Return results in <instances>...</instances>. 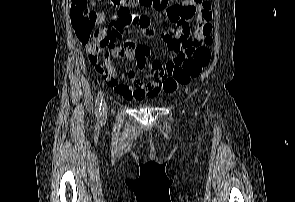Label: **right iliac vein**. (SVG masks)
Segmentation results:
<instances>
[{
    "mask_svg": "<svg viewBox=\"0 0 295 202\" xmlns=\"http://www.w3.org/2000/svg\"><path fill=\"white\" fill-rule=\"evenodd\" d=\"M106 112H107V102L104 101V103H103V108H102V113H103V115H104Z\"/></svg>",
    "mask_w": 295,
    "mask_h": 202,
    "instance_id": "1",
    "label": "right iliac vein"
}]
</instances>
